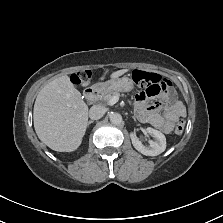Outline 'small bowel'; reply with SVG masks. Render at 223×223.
I'll use <instances>...</instances> for the list:
<instances>
[{
  "mask_svg": "<svg viewBox=\"0 0 223 223\" xmlns=\"http://www.w3.org/2000/svg\"><path fill=\"white\" fill-rule=\"evenodd\" d=\"M158 97L154 103H148L149 98ZM135 109L139 118L156 127L164 133H170L174 124L186 113L184 105L177 101L171 83L165 79L163 85L139 92L135 97Z\"/></svg>",
  "mask_w": 223,
  "mask_h": 223,
  "instance_id": "obj_1",
  "label": "small bowel"
}]
</instances>
